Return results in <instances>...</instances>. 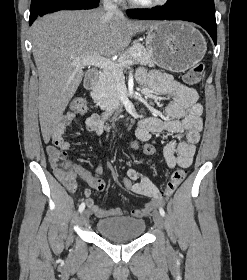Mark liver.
<instances>
[{"label": "liver", "instance_id": "obj_1", "mask_svg": "<svg viewBox=\"0 0 247 280\" xmlns=\"http://www.w3.org/2000/svg\"><path fill=\"white\" fill-rule=\"evenodd\" d=\"M153 21H130L102 9L60 11L38 18L31 42L39 75L38 110L43 139L48 143L82 78L73 61L97 54L111 57L123 51L134 35Z\"/></svg>", "mask_w": 247, "mask_h": 280}]
</instances>
